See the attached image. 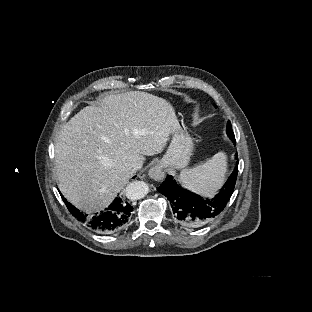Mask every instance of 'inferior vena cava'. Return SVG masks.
<instances>
[{"mask_svg":"<svg viewBox=\"0 0 312 312\" xmlns=\"http://www.w3.org/2000/svg\"><path fill=\"white\" fill-rule=\"evenodd\" d=\"M143 160L137 159L135 160L128 168V173L134 175L139 169L142 168Z\"/></svg>","mask_w":312,"mask_h":312,"instance_id":"1","label":"inferior vena cava"}]
</instances>
